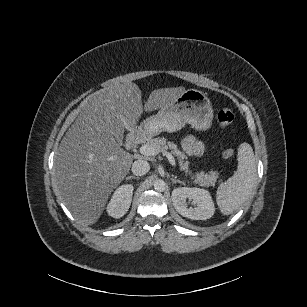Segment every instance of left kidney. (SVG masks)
<instances>
[{
    "mask_svg": "<svg viewBox=\"0 0 307 307\" xmlns=\"http://www.w3.org/2000/svg\"><path fill=\"white\" fill-rule=\"evenodd\" d=\"M187 199L192 201V204L195 205L194 208L187 207ZM172 202L179 214L193 220L209 219L215 212L209 191L201 188H176L172 191Z\"/></svg>",
    "mask_w": 307,
    "mask_h": 307,
    "instance_id": "left-kidney-1",
    "label": "left kidney"
}]
</instances>
